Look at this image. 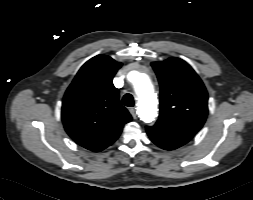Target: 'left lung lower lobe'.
I'll return each instance as SVG.
<instances>
[{
    "label": "left lung lower lobe",
    "instance_id": "obj_1",
    "mask_svg": "<svg viewBox=\"0 0 253 200\" xmlns=\"http://www.w3.org/2000/svg\"><path fill=\"white\" fill-rule=\"evenodd\" d=\"M147 134L150 139L160 148L174 150L186 144L194 134L173 130L161 126L147 127Z\"/></svg>",
    "mask_w": 253,
    "mask_h": 200
}]
</instances>
